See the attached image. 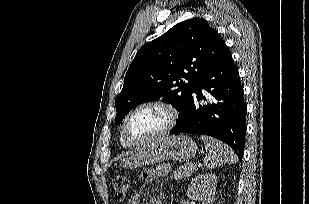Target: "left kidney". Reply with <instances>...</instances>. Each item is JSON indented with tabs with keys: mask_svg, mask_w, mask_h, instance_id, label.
<instances>
[{
	"mask_svg": "<svg viewBox=\"0 0 309 204\" xmlns=\"http://www.w3.org/2000/svg\"><path fill=\"white\" fill-rule=\"evenodd\" d=\"M216 175L205 173L195 177L187 191V196L191 199L202 201V204H212L216 186Z\"/></svg>",
	"mask_w": 309,
	"mask_h": 204,
	"instance_id": "left-kidney-1",
	"label": "left kidney"
}]
</instances>
